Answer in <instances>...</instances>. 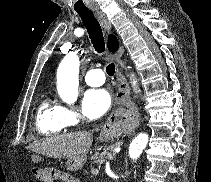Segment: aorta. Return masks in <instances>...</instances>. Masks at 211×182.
<instances>
[{
  "mask_svg": "<svg viewBox=\"0 0 211 182\" xmlns=\"http://www.w3.org/2000/svg\"><path fill=\"white\" fill-rule=\"evenodd\" d=\"M80 61L75 53H69L61 61L57 71V90L60 98L68 103L73 104L78 97V74ZM136 81H133V86ZM148 135L141 133L137 135L129 146V156L132 160H136L145 149L148 143Z\"/></svg>",
  "mask_w": 211,
  "mask_h": 182,
  "instance_id": "762f6f07",
  "label": "aorta"
}]
</instances>
